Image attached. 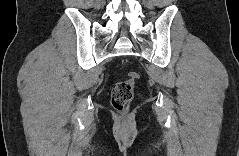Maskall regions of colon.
I'll use <instances>...</instances> for the list:
<instances>
[{
    "label": "colon",
    "instance_id": "1",
    "mask_svg": "<svg viewBox=\"0 0 239 156\" xmlns=\"http://www.w3.org/2000/svg\"><path fill=\"white\" fill-rule=\"evenodd\" d=\"M140 76L137 72H129L125 80L117 82L111 92V104L119 112H125L134 97V88Z\"/></svg>",
    "mask_w": 239,
    "mask_h": 156
}]
</instances>
